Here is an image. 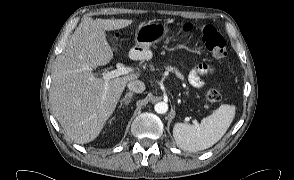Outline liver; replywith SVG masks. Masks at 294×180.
I'll return each mask as SVG.
<instances>
[{"label":"liver","instance_id":"6515ba94","mask_svg":"<svg viewBox=\"0 0 294 180\" xmlns=\"http://www.w3.org/2000/svg\"><path fill=\"white\" fill-rule=\"evenodd\" d=\"M129 19L84 18L57 56L52 73L50 102L66 134L78 144L93 141L113 114L126 84L138 73L110 79L97 73L113 58L106 31L129 26Z\"/></svg>","mask_w":294,"mask_h":180}]
</instances>
